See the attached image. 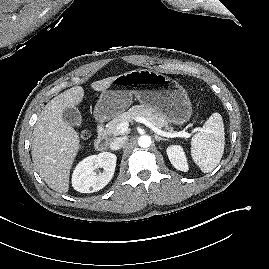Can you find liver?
Wrapping results in <instances>:
<instances>
[{
  "instance_id": "1",
  "label": "liver",
  "mask_w": 269,
  "mask_h": 269,
  "mask_svg": "<svg viewBox=\"0 0 269 269\" xmlns=\"http://www.w3.org/2000/svg\"><path fill=\"white\" fill-rule=\"evenodd\" d=\"M114 79L95 81L91 87L95 91H104ZM83 98L81 86L66 90L46 104L34 126L32 160L46 184L60 193L69 190L70 170L80 149L79 135L63 120V111L80 104Z\"/></svg>"
}]
</instances>
